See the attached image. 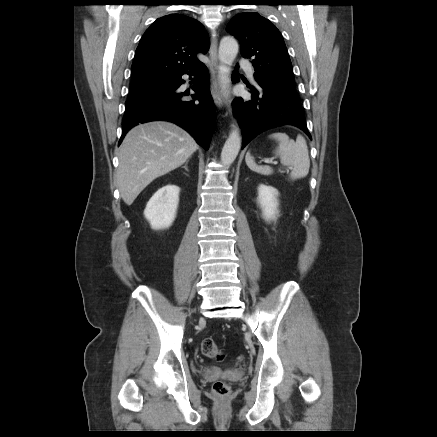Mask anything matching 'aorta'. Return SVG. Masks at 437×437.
<instances>
[{"instance_id":"762f6f07","label":"aorta","mask_w":437,"mask_h":437,"mask_svg":"<svg viewBox=\"0 0 437 437\" xmlns=\"http://www.w3.org/2000/svg\"><path fill=\"white\" fill-rule=\"evenodd\" d=\"M238 53V43L231 36H225L220 41L219 46V82L223 90L229 88L231 78V66ZM241 148V138L239 135V130L233 125V128L227 138L222 152H221V163L224 166H230L236 159L239 150Z\"/></svg>"}]
</instances>
